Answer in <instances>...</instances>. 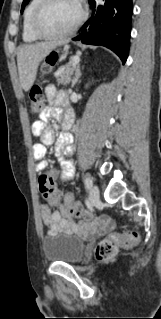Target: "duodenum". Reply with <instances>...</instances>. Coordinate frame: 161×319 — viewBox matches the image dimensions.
Instances as JSON below:
<instances>
[{
	"mask_svg": "<svg viewBox=\"0 0 161 319\" xmlns=\"http://www.w3.org/2000/svg\"><path fill=\"white\" fill-rule=\"evenodd\" d=\"M64 126H65L66 129H69L70 126H71V124H70L69 121H66V122L64 123Z\"/></svg>",
	"mask_w": 161,
	"mask_h": 319,
	"instance_id": "410a0bca",
	"label": "duodenum"
}]
</instances>
